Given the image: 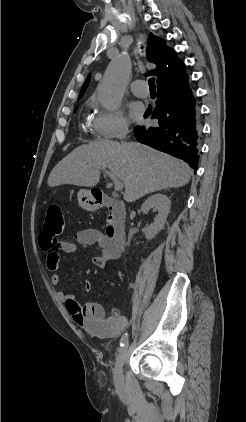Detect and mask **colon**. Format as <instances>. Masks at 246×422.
I'll return each instance as SVG.
<instances>
[{"mask_svg":"<svg viewBox=\"0 0 246 422\" xmlns=\"http://www.w3.org/2000/svg\"><path fill=\"white\" fill-rule=\"evenodd\" d=\"M64 217L61 206L58 203H52L48 206L46 220L44 224L45 231L51 235H59L64 231Z\"/></svg>","mask_w":246,"mask_h":422,"instance_id":"5ec220e1","label":"colon"}]
</instances>
